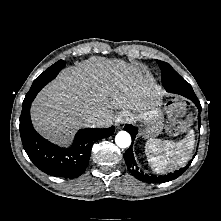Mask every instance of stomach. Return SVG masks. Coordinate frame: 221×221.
<instances>
[{"label": "stomach", "instance_id": "obj_1", "mask_svg": "<svg viewBox=\"0 0 221 221\" xmlns=\"http://www.w3.org/2000/svg\"><path fill=\"white\" fill-rule=\"evenodd\" d=\"M123 113L126 114L129 121L141 123L144 128V135L148 138L160 134L163 129V115L155 105L146 108L144 111H124Z\"/></svg>", "mask_w": 221, "mask_h": 221}]
</instances>
